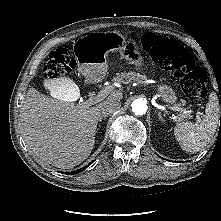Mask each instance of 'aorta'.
<instances>
[{
	"label": "aorta",
	"mask_w": 221,
	"mask_h": 221,
	"mask_svg": "<svg viewBox=\"0 0 221 221\" xmlns=\"http://www.w3.org/2000/svg\"><path fill=\"white\" fill-rule=\"evenodd\" d=\"M132 107V111L136 114V115H143L146 113L147 111V104L144 100L142 99H136L132 102L131 104Z\"/></svg>",
	"instance_id": "1"
}]
</instances>
